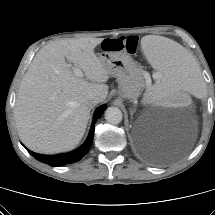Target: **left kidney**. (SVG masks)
Listing matches in <instances>:
<instances>
[{
  "instance_id": "obj_1",
  "label": "left kidney",
  "mask_w": 215,
  "mask_h": 215,
  "mask_svg": "<svg viewBox=\"0 0 215 215\" xmlns=\"http://www.w3.org/2000/svg\"><path fill=\"white\" fill-rule=\"evenodd\" d=\"M144 102L148 106H156V105H161L165 106L167 104L171 106H179V107H187L190 108L194 104L193 98L186 97L182 94H179L178 96L176 94H172L171 96L167 95H161V96H156L155 94H151L145 97Z\"/></svg>"
}]
</instances>
